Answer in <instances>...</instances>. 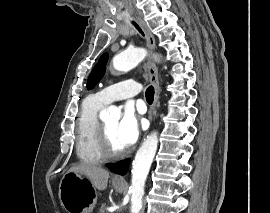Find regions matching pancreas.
<instances>
[{"instance_id":"obj_1","label":"pancreas","mask_w":270,"mask_h":213,"mask_svg":"<svg viewBox=\"0 0 270 213\" xmlns=\"http://www.w3.org/2000/svg\"><path fill=\"white\" fill-rule=\"evenodd\" d=\"M99 213H106L105 205H102L99 209Z\"/></svg>"}]
</instances>
